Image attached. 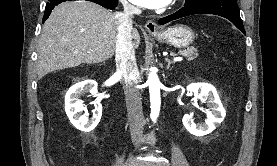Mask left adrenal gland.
<instances>
[{"instance_id": "a2214340", "label": "left adrenal gland", "mask_w": 277, "mask_h": 166, "mask_svg": "<svg viewBox=\"0 0 277 166\" xmlns=\"http://www.w3.org/2000/svg\"><path fill=\"white\" fill-rule=\"evenodd\" d=\"M165 61L167 62V69L170 68V65L173 63L170 59L166 58Z\"/></svg>"}]
</instances>
